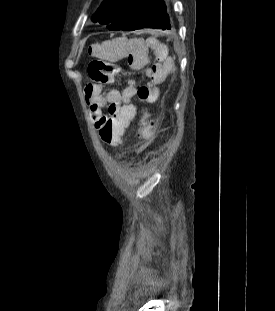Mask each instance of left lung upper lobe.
<instances>
[{"instance_id": "1", "label": "left lung upper lobe", "mask_w": 275, "mask_h": 311, "mask_svg": "<svg viewBox=\"0 0 275 311\" xmlns=\"http://www.w3.org/2000/svg\"><path fill=\"white\" fill-rule=\"evenodd\" d=\"M146 0H104L92 17L94 22L106 24L112 31L123 29Z\"/></svg>"}]
</instances>
